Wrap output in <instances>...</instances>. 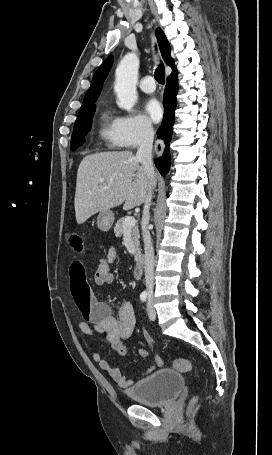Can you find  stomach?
I'll use <instances>...</instances> for the list:
<instances>
[{
	"label": "stomach",
	"mask_w": 272,
	"mask_h": 455,
	"mask_svg": "<svg viewBox=\"0 0 272 455\" xmlns=\"http://www.w3.org/2000/svg\"><path fill=\"white\" fill-rule=\"evenodd\" d=\"M114 222V214L111 210L101 211L97 216L98 228L107 232L112 227Z\"/></svg>",
	"instance_id": "obj_1"
}]
</instances>
